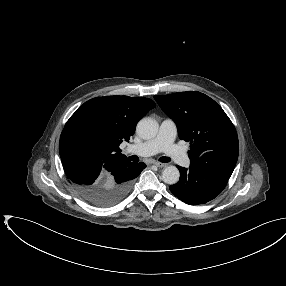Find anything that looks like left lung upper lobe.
Here are the masks:
<instances>
[{
  "instance_id": "1",
  "label": "left lung upper lobe",
  "mask_w": 286,
  "mask_h": 286,
  "mask_svg": "<svg viewBox=\"0 0 286 286\" xmlns=\"http://www.w3.org/2000/svg\"><path fill=\"white\" fill-rule=\"evenodd\" d=\"M154 98L175 121L180 138L190 142V166L229 179L238 159L239 143L235 127L219 104L196 91Z\"/></svg>"
}]
</instances>
